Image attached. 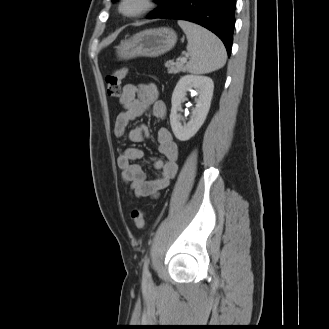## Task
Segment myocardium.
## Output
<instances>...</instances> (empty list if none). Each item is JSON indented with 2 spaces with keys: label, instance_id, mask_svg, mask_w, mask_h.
<instances>
[{
  "label": "myocardium",
  "instance_id": "f54148a6",
  "mask_svg": "<svg viewBox=\"0 0 329 329\" xmlns=\"http://www.w3.org/2000/svg\"><path fill=\"white\" fill-rule=\"evenodd\" d=\"M131 2L138 3V7L134 10L127 11L125 9V6ZM154 5H155V0H120L118 5V11L124 17L135 18L151 11Z\"/></svg>",
  "mask_w": 329,
  "mask_h": 329
}]
</instances>
